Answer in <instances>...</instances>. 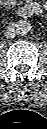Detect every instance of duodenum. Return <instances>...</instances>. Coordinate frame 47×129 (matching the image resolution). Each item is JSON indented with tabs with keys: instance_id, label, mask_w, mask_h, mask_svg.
I'll return each mask as SVG.
<instances>
[{
	"instance_id": "duodenum-1",
	"label": "duodenum",
	"mask_w": 47,
	"mask_h": 129,
	"mask_svg": "<svg viewBox=\"0 0 47 129\" xmlns=\"http://www.w3.org/2000/svg\"><path fill=\"white\" fill-rule=\"evenodd\" d=\"M42 9L36 4H26L19 9V14L21 16H30L33 14L41 13Z\"/></svg>"
}]
</instances>
